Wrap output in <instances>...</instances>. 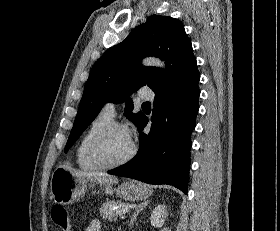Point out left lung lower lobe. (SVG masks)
Wrapping results in <instances>:
<instances>
[{
    "instance_id": "obj_1",
    "label": "left lung lower lobe",
    "mask_w": 280,
    "mask_h": 231,
    "mask_svg": "<svg viewBox=\"0 0 280 231\" xmlns=\"http://www.w3.org/2000/svg\"><path fill=\"white\" fill-rule=\"evenodd\" d=\"M200 74L196 68L178 81L155 92L152 125L142 133L148 118L139 116L140 133L137 155L128 163L108 171L149 184H170L187 194L191 133L199 109Z\"/></svg>"
}]
</instances>
